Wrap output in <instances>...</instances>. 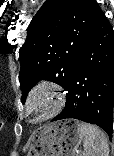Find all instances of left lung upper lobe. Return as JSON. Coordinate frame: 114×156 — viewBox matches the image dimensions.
<instances>
[{"mask_svg": "<svg viewBox=\"0 0 114 156\" xmlns=\"http://www.w3.org/2000/svg\"><path fill=\"white\" fill-rule=\"evenodd\" d=\"M99 9L95 0H46L29 24L19 51L22 102L41 79L67 90Z\"/></svg>", "mask_w": 114, "mask_h": 156, "instance_id": "1", "label": "left lung upper lobe"}]
</instances>
